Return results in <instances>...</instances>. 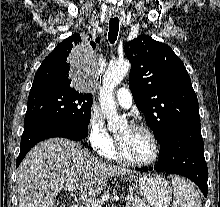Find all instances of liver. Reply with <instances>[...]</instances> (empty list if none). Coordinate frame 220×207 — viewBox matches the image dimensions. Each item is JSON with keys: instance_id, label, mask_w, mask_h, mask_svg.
<instances>
[{"instance_id": "obj_1", "label": "liver", "mask_w": 220, "mask_h": 207, "mask_svg": "<svg viewBox=\"0 0 220 207\" xmlns=\"http://www.w3.org/2000/svg\"><path fill=\"white\" fill-rule=\"evenodd\" d=\"M130 173L98 160L77 142L48 139L34 146L17 170L19 207H52L69 184L84 196H96L105 189L109 177Z\"/></svg>"}]
</instances>
